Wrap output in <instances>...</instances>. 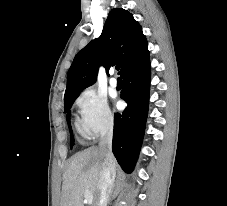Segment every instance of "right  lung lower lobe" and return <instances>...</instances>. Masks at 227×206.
Wrapping results in <instances>:
<instances>
[{
  "instance_id": "right-lung-lower-lobe-1",
  "label": "right lung lower lobe",
  "mask_w": 227,
  "mask_h": 206,
  "mask_svg": "<svg viewBox=\"0 0 227 206\" xmlns=\"http://www.w3.org/2000/svg\"><path fill=\"white\" fill-rule=\"evenodd\" d=\"M121 98L127 102L123 113L114 115L112 151L126 173L132 172L141 148L148 113L150 88L149 57L121 76Z\"/></svg>"
}]
</instances>
